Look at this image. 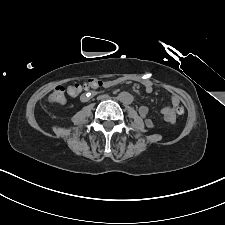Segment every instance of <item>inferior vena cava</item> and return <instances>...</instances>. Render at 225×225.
I'll list each match as a JSON object with an SVG mask.
<instances>
[{
    "label": "inferior vena cava",
    "instance_id": "obj_1",
    "mask_svg": "<svg viewBox=\"0 0 225 225\" xmlns=\"http://www.w3.org/2000/svg\"><path fill=\"white\" fill-rule=\"evenodd\" d=\"M99 99H107L108 98V95H101L98 97Z\"/></svg>",
    "mask_w": 225,
    "mask_h": 225
}]
</instances>
